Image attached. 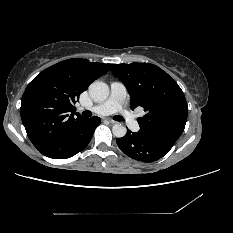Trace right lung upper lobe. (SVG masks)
Instances as JSON below:
<instances>
[{
  "instance_id": "right-lung-upper-lobe-1",
  "label": "right lung upper lobe",
  "mask_w": 233,
  "mask_h": 233,
  "mask_svg": "<svg viewBox=\"0 0 233 233\" xmlns=\"http://www.w3.org/2000/svg\"><path fill=\"white\" fill-rule=\"evenodd\" d=\"M108 69L109 64L73 58L45 69L29 83L22 96L20 114L37 149L50 144L83 119L74 104L89 84Z\"/></svg>"
}]
</instances>
